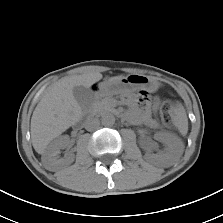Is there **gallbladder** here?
Wrapping results in <instances>:
<instances>
[{
  "label": "gallbladder",
  "instance_id": "1",
  "mask_svg": "<svg viewBox=\"0 0 223 223\" xmlns=\"http://www.w3.org/2000/svg\"><path fill=\"white\" fill-rule=\"evenodd\" d=\"M73 95L79 106L83 109L87 108L93 100V92L90 88L84 86H75Z\"/></svg>",
  "mask_w": 223,
  "mask_h": 223
}]
</instances>
